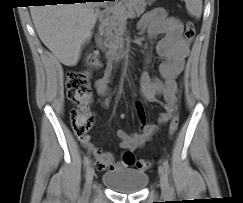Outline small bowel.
Listing matches in <instances>:
<instances>
[{
  "label": "small bowel",
  "mask_w": 243,
  "mask_h": 203,
  "mask_svg": "<svg viewBox=\"0 0 243 203\" xmlns=\"http://www.w3.org/2000/svg\"><path fill=\"white\" fill-rule=\"evenodd\" d=\"M138 30L145 32L151 40L157 36L162 37L154 46V51L161 59L159 73L161 78L152 76L148 71H143L140 77L143 100L134 104L135 111L140 123L139 131L128 133L120 129L117 136L120 139V147L124 150L134 151L143 146L158 130L159 125L167 123L177 108V79L184 70L185 60L189 54V45L183 38V26L179 19L168 16L165 10L155 8L143 15L138 23ZM151 51L146 55L147 63L150 61ZM113 72L112 63H108L102 76L96 81L95 88L102 97L101 105L105 108L110 106L109 84ZM162 98V100L159 99ZM145 102H154L162 106L158 124L148 120L145 110ZM125 114L120 119H125ZM84 148L93 155L99 170H115L125 167L122 161H116L110 152H103L89 141L87 136L79 138Z\"/></svg>",
  "instance_id": "obj_1"
}]
</instances>
